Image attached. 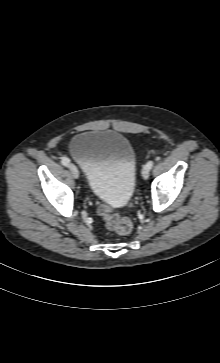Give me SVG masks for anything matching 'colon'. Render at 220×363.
Masks as SVG:
<instances>
[{"label": "colon", "mask_w": 220, "mask_h": 363, "mask_svg": "<svg viewBox=\"0 0 220 363\" xmlns=\"http://www.w3.org/2000/svg\"><path fill=\"white\" fill-rule=\"evenodd\" d=\"M98 212L104 218L106 226L117 234L128 235L133 231V221L126 216L112 212L108 206L101 204Z\"/></svg>", "instance_id": "1"}]
</instances>
